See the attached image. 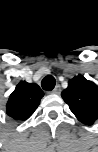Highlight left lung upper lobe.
I'll list each match as a JSON object with an SVG mask.
<instances>
[{"label":"left lung upper lobe","instance_id":"obj_1","mask_svg":"<svg viewBox=\"0 0 98 152\" xmlns=\"http://www.w3.org/2000/svg\"><path fill=\"white\" fill-rule=\"evenodd\" d=\"M61 96L80 122L92 125L98 119V86L92 81L75 76Z\"/></svg>","mask_w":98,"mask_h":152}]
</instances>
